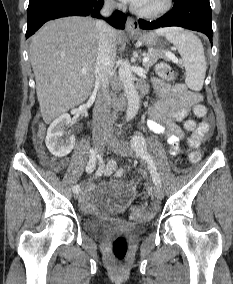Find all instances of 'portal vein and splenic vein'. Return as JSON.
<instances>
[{
    "label": "portal vein and splenic vein",
    "mask_w": 233,
    "mask_h": 284,
    "mask_svg": "<svg viewBox=\"0 0 233 284\" xmlns=\"http://www.w3.org/2000/svg\"><path fill=\"white\" fill-rule=\"evenodd\" d=\"M166 57L167 58H169V59H172L173 61H175V62H178V60L177 59H175L174 57H173V55H166ZM149 61V57L148 56H146V55H144V57H143V63H146V62H148ZM87 72V70L86 69H82V73H86Z\"/></svg>",
    "instance_id": "portal-vein-and-splenic-vein-1"
}]
</instances>
